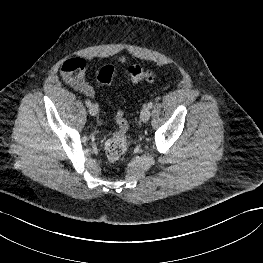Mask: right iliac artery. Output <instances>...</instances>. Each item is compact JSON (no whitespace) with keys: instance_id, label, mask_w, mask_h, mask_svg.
<instances>
[{"instance_id":"obj_1","label":"right iliac artery","mask_w":263,"mask_h":263,"mask_svg":"<svg viewBox=\"0 0 263 263\" xmlns=\"http://www.w3.org/2000/svg\"><path fill=\"white\" fill-rule=\"evenodd\" d=\"M85 104H86V106L90 107L91 106V101L90 100H86Z\"/></svg>"}]
</instances>
